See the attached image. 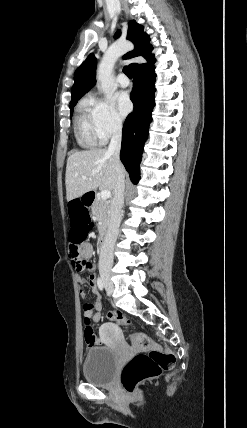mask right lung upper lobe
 Instances as JSON below:
<instances>
[{"label":"right lung upper lobe","instance_id":"1","mask_svg":"<svg viewBox=\"0 0 247 428\" xmlns=\"http://www.w3.org/2000/svg\"><path fill=\"white\" fill-rule=\"evenodd\" d=\"M143 26L132 20L129 22L128 36L127 39L133 42L135 49L128 52L123 56L124 59H130L136 56H143L148 62L154 59L151 51L153 47L150 45V38L143 31ZM120 32L115 34V38H118ZM142 64L132 63L130 67L132 69ZM96 82V58L91 54L77 69L74 77V85L71 90V102L70 105L77 103V101L88 92Z\"/></svg>","mask_w":247,"mask_h":428}]
</instances>
